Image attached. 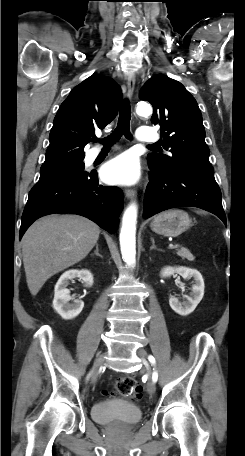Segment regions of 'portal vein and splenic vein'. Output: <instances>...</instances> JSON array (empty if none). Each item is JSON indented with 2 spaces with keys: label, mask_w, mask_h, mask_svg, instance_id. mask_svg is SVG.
<instances>
[{
  "label": "portal vein and splenic vein",
  "mask_w": 245,
  "mask_h": 456,
  "mask_svg": "<svg viewBox=\"0 0 245 456\" xmlns=\"http://www.w3.org/2000/svg\"><path fill=\"white\" fill-rule=\"evenodd\" d=\"M179 247V244H169V248L170 249H175V248H178Z\"/></svg>",
  "instance_id": "obj_1"
}]
</instances>
